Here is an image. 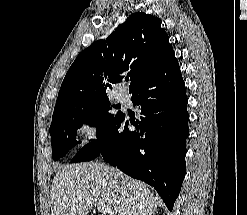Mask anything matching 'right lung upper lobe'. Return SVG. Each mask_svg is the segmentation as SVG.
Segmentation results:
<instances>
[{"mask_svg":"<svg viewBox=\"0 0 247 215\" xmlns=\"http://www.w3.org/2000/svg\"><path fill=\"white\" fill-rule=\"evenodd\" d=\"M172 49L159 19L143 12L132 14L106 40L92 43L77 56L62 82L54 113L107 95L105 89L111 85L103 83L104 77L115 83L127 73L131 92Z\"/></svg>","mask_w":247,"mask_h":215,"instance_id":"obj_1","label":"right lung upper lobe"}]
</instances>
